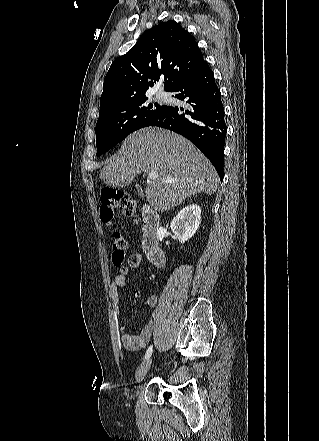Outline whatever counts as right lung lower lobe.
<instances>
[{
	"mask_svg": "<svg viewBox=\"0 0 319 441\" xmlns=\"http://www.w3.org/2000/svg\"><path fill=\"white\" fill-rule=\"evenodd\" d=\"M170 92H175L177 99L186 100L190 107L166 106L151 126L189 139L211 161L222 180L227 127L220 91L207 62L182 78Z\"/></svg>",
	"mask_w": 319,
	"mask_h": 441,
	"instance_id": "1",
	"label": "right lung lower lobe"
}]
</instances>
